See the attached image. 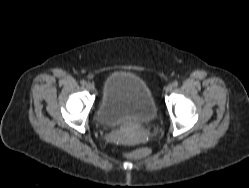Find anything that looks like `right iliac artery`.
Returning a JSON list of instances; mask_svg holds the SVG:
<instances>
[{
	"label": "right iliac artery",
	"mask_w": 249,
	"mask_h": 188,
	"mask_svg": "<svg viewBox=\"0 0 249 188\" xmlns=\"http://www.w3.org/2000/svg\"><path fill=\"white\" fill-rule=\"evenodd\" d=\"M81 84H82V85H86V81H85V80H82V81H81Z\"/></svg>",
	"instance_id": "1"
}]
</instances>
